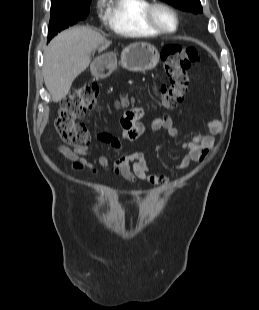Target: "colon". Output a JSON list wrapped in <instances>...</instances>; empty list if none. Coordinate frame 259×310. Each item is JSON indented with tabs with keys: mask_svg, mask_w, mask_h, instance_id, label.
Listing matches in <instances>:
<instances>
[{
	"mask_svg": "<svg viewBox=\"0 0 259 310\" xmlns=\"http://www.w3.org/2000/svg\"><path fill=\"white\" fill-rule=\"evenodd\" d=\"M199 60V50L192 46L169 44L162 49L161 64L168 81L156 93L164 108L172 109L184 100L188 90V71ZM97 97V86L85 84L74 89L62 102L55 126L61 140L68 146L80 148L89 143L90 131L79 118L94 107Z\"/></svg>",
	"mask_w": 259,
	"mask_h": 310,
	"instance_id": "colon-1",
	"label": "colon"
}]
</instances>
